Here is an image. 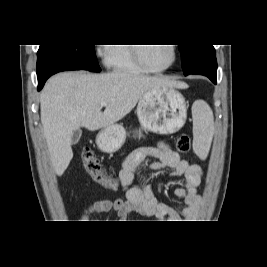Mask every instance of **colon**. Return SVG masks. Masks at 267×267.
Segmentation results:
<instances>
[{
	"label": "colon",
	"mask_w": 267,
	"mask_h": 267,
	"mask_svg": "<svg viewBox=\"0 0 267 267\" xmlns=\"http://www.w3.org/2000/svg\"><path fill=\"white\" fill-rule=\"evenodd\" d=\"M175 144L178 151L183 153L188 152L191 147L189 135L180 134ZM81 162L83 170L93 182L108 189L121 188V183H117V181L106 172L91 149L85 148L82 150Z\"/></svg>",
	"instance_id": "5ec220e1"
}]
</instances>
